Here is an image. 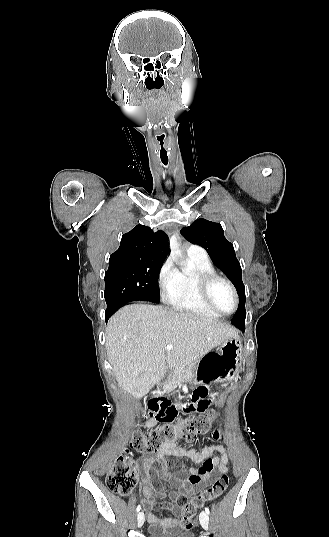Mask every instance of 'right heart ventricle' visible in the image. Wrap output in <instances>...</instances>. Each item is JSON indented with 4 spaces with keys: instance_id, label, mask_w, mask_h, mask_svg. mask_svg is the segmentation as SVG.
<instances>
[{
    "instance_id": "e07e8e85",
    "label": "right heart ventricle",
    "mask_w": 329,
    "mask_h": 537,
    "mask_svg": "<svg viewBox=\"0 0 329 537\" xmlns=\"http://www.w3.org/2000/svg\"><path fill=\"white\" fill-rule=\"evenodd\" d=\"M188 259L192 269L178 271V286L168 298V302L176 311L218 317L219 314L209 308L202 299L196 279L198 272H215L213 265L208 257H196L188 254Z\"/></svg>"
}]
</instances>
